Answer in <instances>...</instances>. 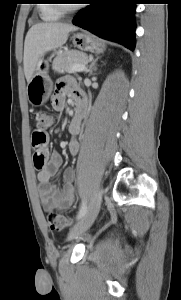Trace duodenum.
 Segmentation results:
<instances>
[{
    "instance_id": "1",
    "label": "duodenum",
    "mask_w": 181,
    "mask_h": 300,
    "mask_svg": "<svg viewBox=\"0 0 181 300\" xmlns=\"http://www.w3.org/2000/svg\"><path fill=\"white\" fill-rule=\"evenodd\" d=\"M83 110H84V108H83L82 104H77L76 105V113H75L74 117H77L80 114H82Z\"/></svg>"
}]
</instances>
